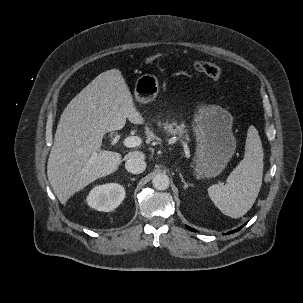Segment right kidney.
<instances>
[{"label":"right kidney","instance_id":"obj_1","mask_svg":"<svg viewBox=\"0 0 303 303\" xmlns=\"http://www.w3.org/2000/svg\"><path fill=\"white\" fill-rule=\"evenodd\" d=\"M125 198V189L117 183H109L95 186L87 196L90 207L109 212L118 207Z\"/></svg>","mask_w":303,"mask_h":303}]
</instances>
